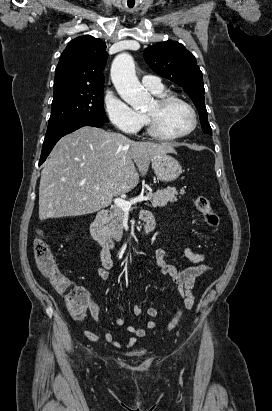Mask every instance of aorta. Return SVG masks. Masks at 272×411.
I'll use <instances>...</instances> for the list:
<instances>
[{
  "label": "aorta",
  "instance_id": "obj_1",
  "mask_svg": "<svg viewBox=\"0 0 272 411\" xmlns=\"http://www.w3.org/2000/svg\"><path fill=\"white\" fill-rule=\"evenodd\" d=\"M111 79L121 98L134 109L141 108L149 94L138 81L133 58L128 53L115 57L111 65Z\"/></svg>",
  "mask_w": 272,
  "mask_h": 411
}]
</instances>
